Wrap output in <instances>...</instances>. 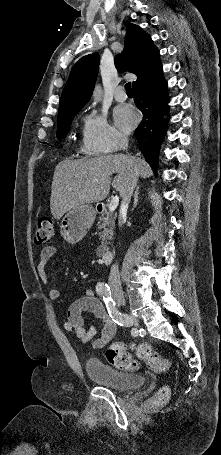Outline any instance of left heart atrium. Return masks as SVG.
Here are the masks:
<instances>
[{"label": "left heart atrium", "instance_id": "39dd6f15", "mask_svg": "<svg viewBox=\"0 0 221 455\" xmlns=\"http://www.w3.org/2000/svg\"><path fill=\"white\" fill-rule=\"evenodd\" d=\"M114 120L120 129L129 131L137 124L138 116L130 106L123 105L114 110Z\"/></svg>", "mask_w": 221, "mask_h": 455}]
</instances>
